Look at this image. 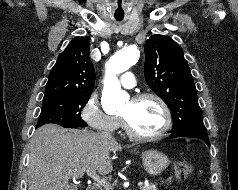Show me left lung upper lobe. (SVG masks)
Listing matches in <instances>:
<instances>
[{
	"label": "left lung upper lobe",
	"instance_id": "left-lung-upper-lobe-1",
	"mask_svg": "<svg viewBox=\"0 0 238 190\" xmlns=\"http://www.w3.org/2000/svg\"><path fill=\"white\" fill-rule=\"evenodd\" d=\"M145 78L150 89L172 112L171 133L207 131L180 45L167 36H151L145 43Z\"/></svg>",
	"mask_w": 238,
	"mask_h": 190
}]
</instances>
